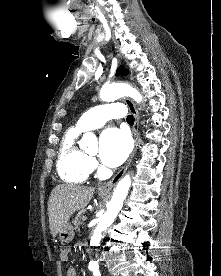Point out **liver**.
Returning a JSON list of instances; mask_svg holds the SVG:
<instances>
[{
    "instance_id": "liver-1",
    "label": "liver",
    "mask_w": 221,
    "mask_h": 276,
    "mask_svg": "<svg viewBox=\"0 0 221 276\" xmlns=\"http://www.w3.org/2000/svg\"><path fill=\"white\" fill-rule=\"evenodd\" d=\"M95 188L72 184L57 185L48 201V216L51 234L56 237L70 217L90 202Z\"/></svg>"
}]
</instances>
